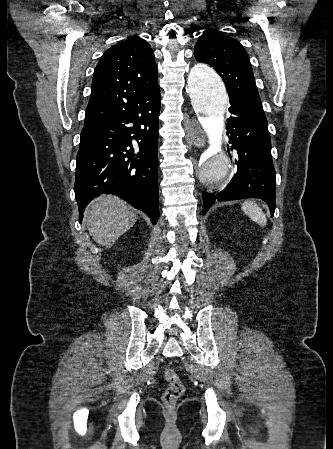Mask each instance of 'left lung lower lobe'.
I'll return each mask as SVG.
<instances>
[{
    "instance_id": "1",
    "label": "left lung lower lobe",
    "mask_w": 333,
    "mask_h": 449,
    "mask_svg": "<svg viewBox=\"0 0 333 449\" xmlns=\"http://www.w3.org/2000/svg\"><path fill=\"white\" fill-rule=\"evenodd\" d=\"M226 129L234 152L235 175L221 191L203 192V214L218 201L260 198L275 211L276 173L271 140L264 112L230 98ZM231 157V156H230Z\"/></svg>"
}]
</instances>
